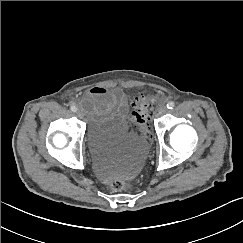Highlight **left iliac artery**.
<instances>
[{
    "label": "left iliac artery",
    "instance_id": "obj_1",
    "mask_svg": "<svg viewBox=\"0 0 243 243\" xmlns=\"http://www.w3.org/2000/svg\"><path fill=\"white\" fill-rule=\"evenodd\" d=\"M174 106H175V103H174V102H169V103L167 104V108H168V109H173Z\"/></svg>",
    "mask_w": 243,
    "mask_h": 243
}]
</instances>
